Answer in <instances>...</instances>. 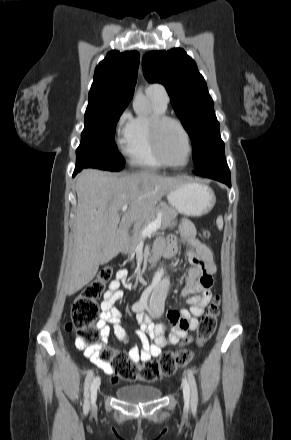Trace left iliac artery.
I'll return each mask as SVG.
<instances>
[{
  "instance_id": "left-iliac-artery-1",
  "label": "left iliac artery",
  "mask_w": 291,
  "mask_h": 440,
  "mask_svg": "<svg viewBox=\"0 0 291 440\" xmlns=\"http://www.w3.org/2000/svg\"><path fill=\"white\" fill-rule=\"evenodd\" d=\"M186 373L191 386V403L192 405L196 406L198 403V390H197L196 380L192 370L188 369L186 370Z\"/></svg>"
}]
</instances>
